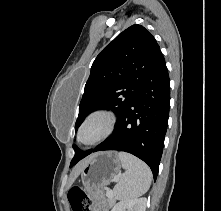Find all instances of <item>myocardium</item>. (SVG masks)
<instances>
[{
    "label": "myocardium",
    "mask_w": 221,
    "mask_h": 211,
    "mask_svg": "<svg viewBox=\"0 0 221 211\" xmlns=\"http://www.w3.org/2000/svg\"><path fill=\"white\" fill-rule=\"evenodd\" d=\"M95 120H100L102 122V131L96 139L90 142H84L82 140V132L89 123ZM115 125L116 117L111 111L106 109L94 110L90 112L81 122L77 132V141L84 146L97 145L106 140L113 133Z\"/></svg>",
    "instance_id": "myocardium-1"
}]
</instances>
